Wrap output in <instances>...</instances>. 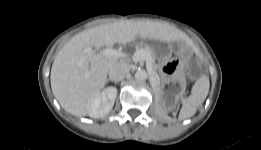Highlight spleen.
Wrapping results in <instances>:
<instances>
[{
	"instance_id": "1",
	"label": "spleen",
	"mask_w": 261,
	"mask_h": 150,
	"mask_svg": "<svg viewBox=\"0 0 261 150\" xmlns=\"http://www.w3.org/2000/svg\"><path fill=\"white\" fill-rule=\"evenodd\" d=\"M209 78L201 76L193 85L191 95L183 103L179 119L184 120L195 115L197 108L202 105L209 92Z\"/></svg>"
}]
</instances>
